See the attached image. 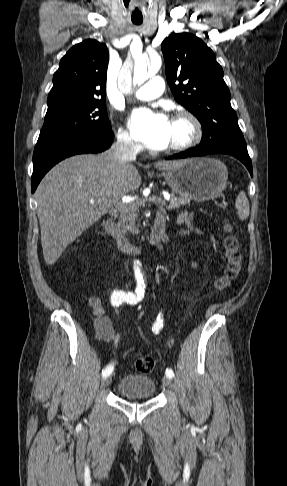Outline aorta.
<instances>
[{"label":"aorta","mask_w":287,"mask_h":486,"mask_svg":"<svg viewBox=\"0 0 287 486\" xmlns=\"http://www.w3.org/2000/svg\"><path fill=\"white\" fill-rule=\"evenodd\" d=\"M161 64L162 62L160 57H154L151 60V63L148 65V69L145 61L136 63L133 72V86H140L146 81V79H148V77L155 75L159 71ZM119 86L120 89L124 92L128 90V82H126L124 78L120 80ZM135 269L136 278L138 279V281H142V276L139 273L138 267H135Z\"/></svg>","instance_id":"aorta-1"}]
</instances>
